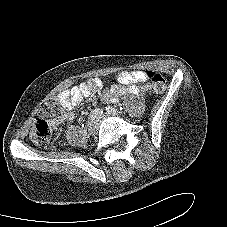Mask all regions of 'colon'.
Segmentation results:
<instances>
[{
	"instance_id": "colon-1",
	"label": "colon",
	"mask_w": 227,
	"mask_h": 227,
	"mask_svg": "<svg viewBox=\"0 0 227 227\" xmlns=\"http://www.w3.org/2000/svg\"><path fill=\"white\" fill-rule=\"evenodd\" d=\"M146 77L149 80L153 91L161 93L166 89L165 77L154 71L146 72ZM58 110V102L54 98H49L43 101L40 105V112L43 115L54 113ZM31 140L39 147H47L50 144L51 129L48 122L38 117L35 119L33 128L30 132Z\"/></svg>"
}]
</instances>
